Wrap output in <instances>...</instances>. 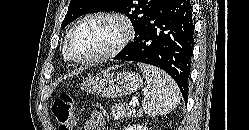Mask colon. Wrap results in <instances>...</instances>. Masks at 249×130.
<instances>
[{
  "instance_id": "obj_1",
  "label": "colon",
  "mask_w": 249,
  "mask_h": 130,
  "mask_svg": "<svg viewBox=\"0 0 249 130\" xmlns=\"http://www.w3.org/2000/svg\"><path fill=\"white\" fill-rule=\"evenodd\" d=\"M52 112L59 130H74V100L70 94L60 95L53 103Z\"/></svg>"
}]
</instances>
